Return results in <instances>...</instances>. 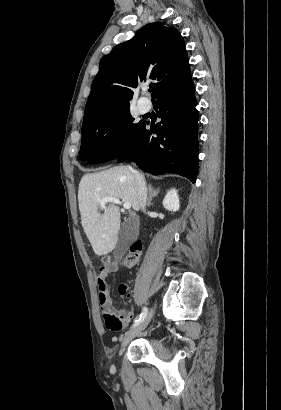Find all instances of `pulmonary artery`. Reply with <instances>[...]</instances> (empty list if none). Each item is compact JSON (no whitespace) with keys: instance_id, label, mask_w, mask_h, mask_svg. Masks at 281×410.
<instances>
[{"instance_id":"1","label":"pulmonary artery","mask_w":281,"mask_h":410,"mask_svg":"<svg viewBox=\"0 0 281 410\" xmlns=\"http://www.w3.org/2000/svg\"><path fill=\"white\" fill-rule=\"evenodd\" d=\"M143 91H146V87H143ZM137 104L142 113L148 112L150 110L151 103L145 98H140Z\"/></svg>"}]
</instances>
